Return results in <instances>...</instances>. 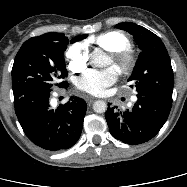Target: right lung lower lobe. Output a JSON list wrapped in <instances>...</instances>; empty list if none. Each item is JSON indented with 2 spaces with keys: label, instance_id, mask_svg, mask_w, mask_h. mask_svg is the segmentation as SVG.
Instances as JSON below:
<instances>
[{
  "label": "right lung lower lobe",
  "instance_id": "obj_1",
  "mask_svg": "<svg viewBox=\"0 0 187 187\" xmlns=\"http://www.w3.org/2000/svg\"><path fill=\"white\" fill-rule=\"evenodd\" d=\"M66 83L62 88H67ZM51 89L36 90L14 99L15 112L27 137L37 146L58 151L72 147L79 139L87 105L78 97L53 110Z\"/></svg>",
  "mask_w": 187,
  "mask_h": 187
}]
</instances>
